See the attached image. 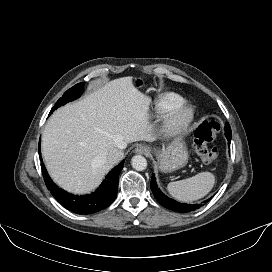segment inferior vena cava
I'll use <instances>...</instances> for the list:
<instances>
[{
  "label": "inferior vena cava",
  "mask_w": 272,
  "mask_h": 272,
  "mask_svg": "<svg viewBox=\"0 0 272 272\" xmlns=\"http://www.w3.org/2000/svg\"><path fill=\"white\" fill-rule=\"evenodd\" d=\"M123 157V152L121 149L114 148L107 151L103 155V161L112 165L117 164Z\"/></svg>",
  "instance_id": "inferior-vena-cava-1"
}]
</instances>
